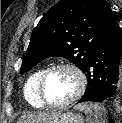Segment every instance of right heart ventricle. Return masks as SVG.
<instances>
[{"mask_svg":"<svg viewBox=\"0 0 122 123\" xmlns=\"http://www.w3.org/2000/svg\"><path fill=\"white\" fill-rule=\"evenodd\" d=\"M47 67H39L34 70L27 78L24 85V97L26 101L34 108H43L44 105L38 97V83Z\"/></svg>","mask_w":122,"mask_h":123,"instance_id":"1","label":"right heart ventricle"}]
</instances>
